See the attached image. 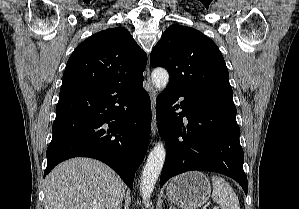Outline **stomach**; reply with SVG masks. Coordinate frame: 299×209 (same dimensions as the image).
<instances>
[{
	"label": "stomach",
	"instance_id": "1",
	"mask_svg": "<svg viewBox=\"0 0 299 209\" xmlns=\"http://www.w3.org/2000/svg\"><path fill=\"white\" fill-rule=\"evenodd\" d=\"M166 193L169 200L177 206L196 209L210 198L211 184L202 172H187L173 178Z\"/></svg>",
	"mask_w": 299,
	"mask_h": 209
}]
</instances>
